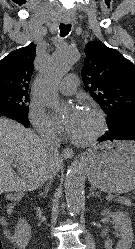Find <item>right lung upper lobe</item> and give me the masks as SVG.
Returning a JSON list of instances; mask_svg holds the SVG:
<instances>
[{
	"instance_id": "obj_1",
	"label": "right lung upper lobe",
	"mask_w": 135,
	"mask_h": 249,
	"mask_svg": "<svg viewBox=\"0 0 135 249\" xmlns=\"http://www.w3.org/2000/svg\"><path fill=\"white\" fill-rule=\"evenodd\" d=\"M36 45L9 53L0 61V91H27L33 72Z\"/></svg>"
}]
</instances>
